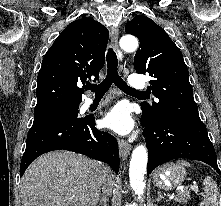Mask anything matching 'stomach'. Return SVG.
<instances>
[{
    "mask_svg": "<svg viewBox=\"0 0 221 206\" xmlns=\"http://www.w3.org/2000/svg\"><path fill=\"white\" fill-rule=\"evenodd\" d=\"M186 177L184 167L169 163L160 167L153 176V183L156 187L164 190H171L182 184Z\"/></svg>",
    "mask_w": 221,
    "mask_h": 206,
    "instance_id": "obj_1",
    "label": "stomach"
}]
</instances>
